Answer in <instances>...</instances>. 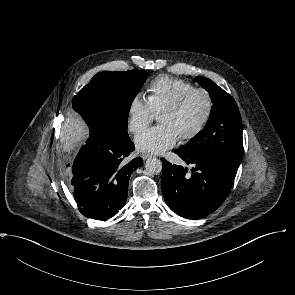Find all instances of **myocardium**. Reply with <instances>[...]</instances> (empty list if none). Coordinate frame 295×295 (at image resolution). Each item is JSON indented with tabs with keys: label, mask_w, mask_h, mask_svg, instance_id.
Listing matches in <instances>:
<instances>
[{
	"label": "myocardium",
	"mask_w": 295,
	"mask_h": 295,
	"mask_svg": "<svg viewBox=\"0 0 295 295\" xmlns=\"http://www.w3.org/2000/svg\"><path fill=\"white\" fill-rule=\"evenodd\" d=\"M196 94H202L206 100V112L201 119V121L198 123V125L190 132L183 134L180 136L181 139L183 140H191L197 137L208 125L210 122L213 112H214V107H215V102L213 95L211 92L204 88V87H194L187 91L184 95H182L177 101H175L173 104L168 106L161 114H176L181 112L189 103V101L192 99V97Z\"/></svg>",
	"instance_id": "1"
}]
</instances>
